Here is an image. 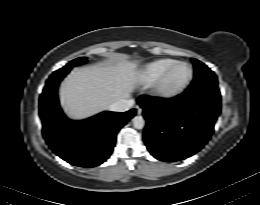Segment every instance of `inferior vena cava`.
<instances>
[{
  "label": "inferior vena cava",
  "instance_id": "inferior-vena-cava-1",
  "mask_svg": "<svg viewBox=\"0 0 260 205\" xmlns=\"http://www.w3.org/2000/svg\"><path fill=\"white\" fill-rule=\"evenodd\" d=\"M133 105H134L133 99H122L120 101L111 104L108 107V110L116 111V112H124V111H128Z\"/></svg>",
  "mask_w": 260,
  "mask_h": 205
}]
</instances>
